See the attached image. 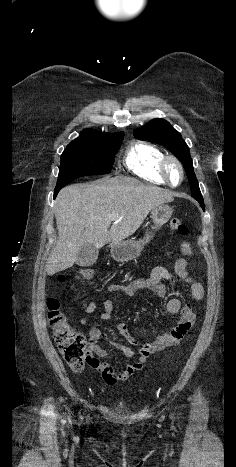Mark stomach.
Wrapping results in <instances>:
<instances>
[{"mask_svg": "<svg viewBox=\"0 0 236 467\" xmlns=\"http://www.w3.org/2000/svg\"><path fill=\"white\" fill-rule=\"evenodd\" d=\"M173 213L172 208L166 204H159L152 209L151 217L154 225L152 230H157L162 225L167 223ZM153 238V233H146L143 239L139 240H123L120 242H114L111 245V256L118 262H128L140 256L141 251L145 244Z\"/></svg>", "mask_w": 236, "mask_h": 467, "instance_id": "obj_1", "label": "stomach"}]
</instances>
